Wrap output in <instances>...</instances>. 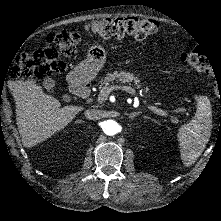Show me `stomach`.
I'll use <instances>...</instances> for the list:
<instances>
[{
  "label": "stomach",
  "mask_w": 221,
  "mask_h": 221,
  "mask_svg": "<svg viewBox=\"0 0 221 221\" xmlns=\"http://www.w3.org/2000/svg\"><path fill=\"white\" fill-rule=\"evenodd\" d=\"M106 51L101 45H93L88 49L87 59L73 69L72 75L76 81H85L88 77L94 79L103 66Z\"/></svg>",
  "instance_id": "stomach-1"
}]
</instances>
